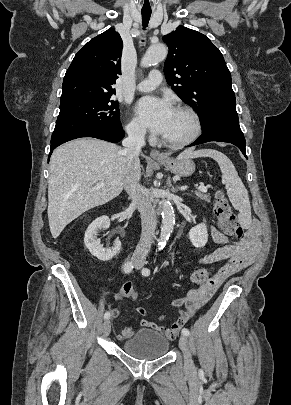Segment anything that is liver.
<instances>
[{
    "mask_svg": "<svg viewBox=\"0 0 291 405\" xmlns=\"http://www.w3.org/2000/svg\"><path fill=\"white\" fill-rule=\"evenodd\" d=\"M141 172L140 160H135ZM126 161L116 144L93 138L72 140L50 159L48 220L53 238L84 212L106 204L123 190ZM103 181V187H96Z\"/></svg>",
    "mask_w": 291,
    "mask_h": 405,
    "instance_id": "6515ba94",
    "label": "liver"
}]
</instances>
